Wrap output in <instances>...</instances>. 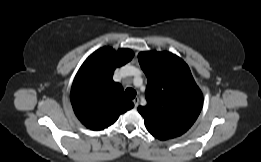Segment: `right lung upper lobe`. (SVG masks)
<instances>
[{
    "label": "right lung upper lobe",
    "mask_w": 261,
    "mask_h": 162,
    "mask_svg": "<svg viewBox=\"0 0 261 162\" xmlns=\"http://www.w3.org/2000/svg\"><path fill=\"white\" fill-rule=\"evenodd\" d=\"M130 49L103 47L91 54L79 69L71 88L77 118L91 130L112 125L120 114L134 107L123 97L121 84L113 81L114 70L133 58Z\"/></svg>",
    "instance_id": "cb5924a9"
}]
</instances>
